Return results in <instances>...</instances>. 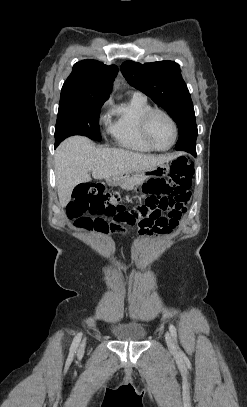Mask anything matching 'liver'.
<instances>
[{"mask_svg": "<svg viewBox=\"0 0 247 407\" xmlns=\"http://www.w3.org/2000/svg\"><path fill=\"white\" fill-rule=\"evenodd\" d=\"M176 155H145L117 148L96 147L91 140L73 136L55 153V176L61 205L71 200L73 188L94 179L143 172L173 160Z\"/></svg>", "mask_w": 247, "mask_h": 407, "instance_id": "obj_1", "label": "liver"}]
</instances>
